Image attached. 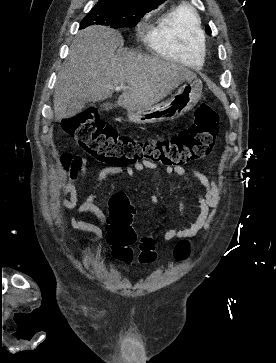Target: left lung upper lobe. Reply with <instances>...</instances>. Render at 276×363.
I'll return each instance as SVG.
<instances>
[{
    "label": "left lung upper lobe",
    "mask_w": 276,
    "mask_h": 363,
    "mask_svg": "<svg viewBox=\"0 0 276 363\" xmlns=\"http://www.w3.org/2000/svg\"><path fill=\"white\" fill-rule=\"evenodd\" d=\"M206 32L209 33V34L211 33V29H210L209 26H206Z\"/></svg>",
    "instance_id": "obj_1"
}]
</instances>
